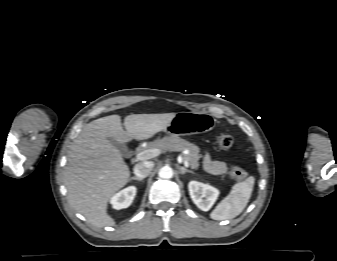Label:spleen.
Masks as SVG:
<instances>
[{"mask_svg":"<svg viewBox=\"0 0 337 261\" xmlns=\"http://www.w3.org/2000/svg\"><path fill=\"white\" fill-rule=\"evenodd\" d=\"M254 183L253 176L243 182L236 183L230 193L211 212L210 217L214 220H225L238 216L249 202Z\"/></svg>","mask_w":337,"mask_h":261,"instance_id":"3e777b00","label":"spleen"}]
</instances>
